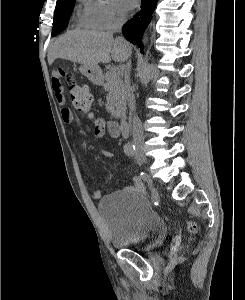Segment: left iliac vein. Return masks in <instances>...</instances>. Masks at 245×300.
Here are the masks:
<instances>
[{
  "instance_id": "left-iliac-vein-1",
  "label": "left iliac vein",
  "mask_w": 245,
  "mask_h": 300,
  "mask_svg": "<svg viewBox=\"0 0 245 300\" xmlns=\"http://www.w3.org/2000/svg\"><path fill=\"white\" fill-rule=\"evenodd\" d=\"M136 160H137V162H138L139 164H141V161H140V159L138 158V156L136 157Z\"/></svg>"
}]
</instances>
